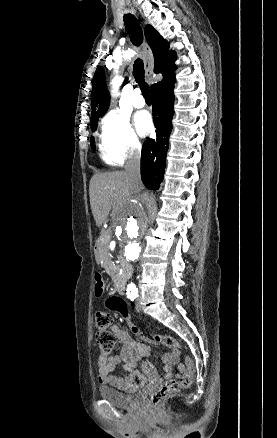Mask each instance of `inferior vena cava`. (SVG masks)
<instances>
[{
	"label": "inferior vena cava",
	"mask_w": 277,
	"mask_h": 438,
	"mask_svg": "<svg viewBox=\"0 0 277 438\" xmlns=\"http://www.w3.org/2000/svg\"><path fill=\"white\" fill-rule=\"evenodd\" d=\"M125 172L131 188L139 190V188H141L139 152H134L132 156H129L126 162Z\"/></svg>",
	"instance_id": "602c4592"
}]
</instances>
